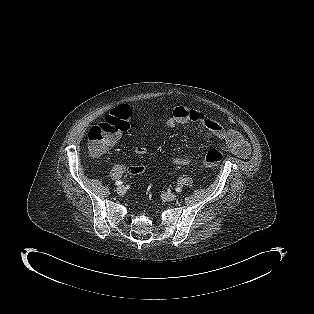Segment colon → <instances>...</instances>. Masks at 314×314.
I'll return each mask as SVG.
<instances>
[{"mask_svg":"<svg viewBox=\"0 0 314 314\" xmlns=\"http://www.w3.org/2000/svg\"><path fill=\"white\" fill-rule=\"evenodd\" d=\"M131 109L127 105L115 108L103 122L92 126L87 132L88 149L94 156L103 154L110 144L123 132L128 130L131 119ZM223 155L216 149L207 152L203 167L210 168L218 165Z\"/></svg>","mask_w":314,"mask_h":314,"instance_id":"colon-1","label":"colon"}]
</instances>
